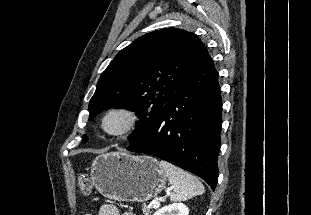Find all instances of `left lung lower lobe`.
Returning <instances> with one entry per match:
<instances>
[{
    "label": "left lung lower lobe",
    "mask_w": 311,
    "mask_h": 215,
    "mask_svg": "<svg viewBox=\"0 0 311 215\" xmlns=\"http://www.w3.org/2000/svg\"><path fill=\"white\" fill-rule=\"evenodd\" d=\"M218 73L206 48L146 133L127 150L157 156L215 189L222 125Z\"/></svg>",
    "instance_id": "1"
}]
</instances>
